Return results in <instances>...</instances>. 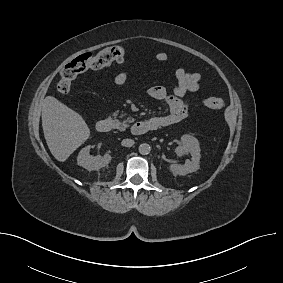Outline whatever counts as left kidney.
<instances>
[{"label":"left kidney","instance_id":"5707ae66","mask_svg":"<svg viewBox=\"0 0 283 283\" xmlns=\"http://www.w3.org/2000/svg\"><path fill=\"white\" fill-rule=\"evenodd\" d=\"M177 155H182L189 152L191 155V161L187 160L185 165L171 164L169 170L176 175H186L188 173L195 172L199 169L200 165V146L198 140L191 135H183L181 137V144L176 148Z\"/></svg>","mask_w":283,"mask_h":283}]
</instances>
